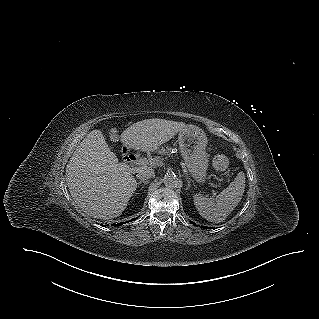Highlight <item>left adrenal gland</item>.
<instances>
[{
    "label": "left adrenal gland",
    "instance_id": "a2214340",
    "mask_svg": "<svg viewBox=\"0 0 319 319\" xmlns=\"http://www.w3.org/2000/svg\"><path fill=\"white\" fill-rule=\"evenodd\" d=\"M187 182H188V187H187V189H189V187H190V181H189V180H187Z\"/></svg>",
    "mask_w": 319,
    "mask_h": 319
}]
</instances>
